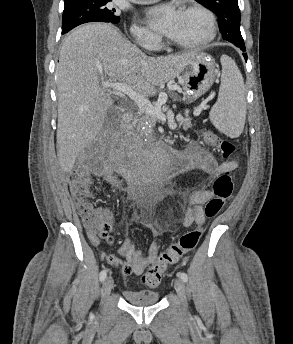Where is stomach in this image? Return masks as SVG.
I'll return each mask as SVG.
<instances>
[{"label":"stomach","instance_id":"1","mask_svg":"<svg viewBox=\"0 0 293 344\" xmlns=\"http://www.w3.org/2000/svg\"><path fill=\"white\" fill-rule=\"evenodd\" d=\"M216 63L206 53L199 52L191 59L185 69L177 76L189 101L205 94L216 77Z\"/></svg>","mask_w":293,"mask_h":344}]
</instances>
